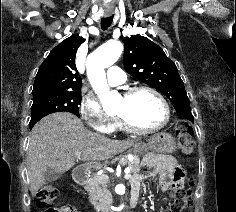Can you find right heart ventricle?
I'll return each mask as SVG.
<instances>
[{
  "label": "right heart ventricle",
  "instance_id": "right-heart-ventricle-1",
  "mask_svg": "<svg viewBox=\"0 0 236 212\" xmlns=\"http://www.w3.org/2000/svg\"><path fill=\"white\" fill-rule=\"evenodd\" d=\"M124 129L122 128V126L120 125V123L118 122L117 119H114V122L112 124L111 130L110 132H114V131H123Z\"/></svg>",
  "mask_w": 236,
  "mask_h": 212
}]
</instances>
